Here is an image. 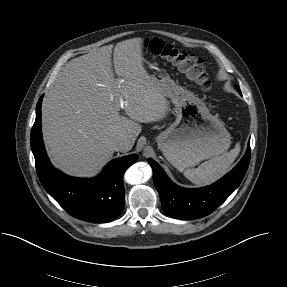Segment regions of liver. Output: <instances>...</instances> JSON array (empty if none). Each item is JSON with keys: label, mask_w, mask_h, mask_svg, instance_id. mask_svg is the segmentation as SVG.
I'll list each match as a JSON object with an SVG mask.
<instances>
[{"label": "liver", "mask_w": 287, "mask_h": 287, "mask_svg": "<svg viewBox=\"0 0 287 287\" xmlns=\"http://www.w3.org/2000/svg\"><path fill=\"white\" fill-rule=\"evenodd\" d=\"M141 38L103 46L69 61L42 105V131L52 164L71 176H94L113 156L111 141L123 137L132 149L140 123L167 115L158 82L143 66ZM120 97L124 101L121 116Z\"/></svg>", "instance_id": "1"}]
</instances>
